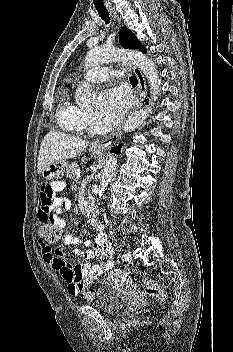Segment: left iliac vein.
I'll return each mask as SVG.
<instances>
[{"mask_svg":"<svg viewBox=\"0 0 233 352\" xmlns=\"http://www.w3.org/2000/svg\"><path fill=\"white\" fill-rule=\"evenodd\" d=\"M127 257H128L127 262H128L129 264H131V263L134 262V257H133V255H132L131 252H128V253H127Z\"/></svg>","mask_w":233,"mask_h":352,"instance_id":"1","label":"left iliac vein"}]
</instances>
